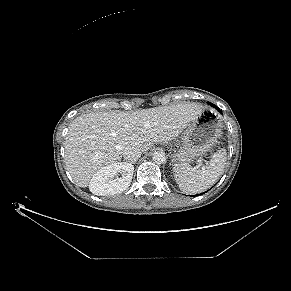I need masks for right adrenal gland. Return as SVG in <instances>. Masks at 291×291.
<instances>
[{
    "label": "right adrenal gland",
    "instance_id": "obj_1",
    "mask_svg": "<svg viewBox=\"0 0 291 291\" xmlns=\"http://www.w3.org/2000/svg\"><path fill=\"white\" fill-rule=\"evenodd\" d=\"M135 163H136V161H133V162H132V164H135Z\"/></svg>",
    "mask_w": 291,
    "mask_h": 291
}]
</instances>
